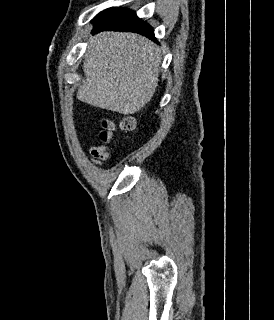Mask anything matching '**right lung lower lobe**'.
Masks as SVG:
<instances>
[{
    "instance_id": "98d812e1",
    "label": "right lung lower lobe",
    "mask_w": 274,
    "mask_h": 320,
    "mask_svg": "<svg viewBox=\"0 0 274 320\" xmlns=\"http://www.w3.org/2000/svg\"><path fill=\"white\" fill-rule=\"evenodd\" d=\"M94 24L93 34L104 30L135 32L156 41L152 27L140 20L134 11L126 8H117Z\"/></svg>"
}]
</instances>
